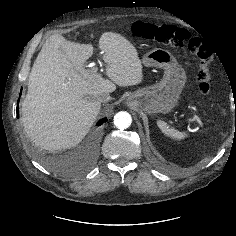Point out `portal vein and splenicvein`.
Here are the masks:
<instances>
[{
	"label": "portal vein and splenic vein",
	"instance_id": "18ae733b",
	"mask_svg": "<svg viewBox=\"0 0 236 236\" xmlns=\"http://www.w3.org/2000/svg\"><path fill=\"white\" fill-rule=\"evenodd\" d=\"M98 63L100 64V61H98ZM95 64L94 63H91L88 67H91L94 72L97 71V69L94 67ZM194 120H196L199 124H202L200 118L197 116V115H194Z\"/></svg>",
	"mask_w": 236,
	"mask_h": 236
}]
</instances>
